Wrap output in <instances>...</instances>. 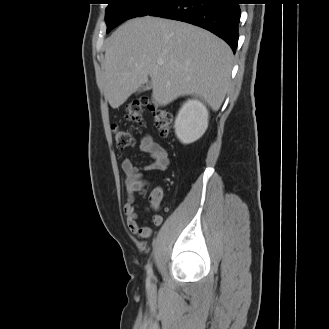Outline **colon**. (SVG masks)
<instances>
[{
    "instance_id": "obj_1",
    "label": "colon",
    "mask_w": 329,
    "mask_h": 329,
    "mask_svg": "<svg viewBox=\"0 0 329 329\" xmlns=\"http://www.w3.org/2000/svg\"><path fill=\"white\" fill-rule=\"evenodd\" d=\"M149 107L153 121L161 135H168L173 126V116L169 108L150 103L146 98L140 97L128 102L125 106V118L135 124H143L144 108ZM115 141L119 148L126 149L134 144L132 135L114 125L112 127Z\"/></svg>"
}]
</instances>
